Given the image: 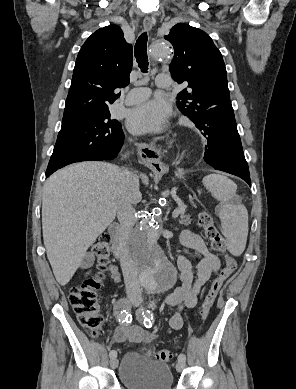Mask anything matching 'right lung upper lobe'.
<instances>
[{
	"mask_svg": "<svg viewBox=\"0 0 296 389\" xmlns=\"http://www.w3.org/2000/svg\"><path fill=\"white\" fill-rule=\"evenodd\" d=\"M132 46L119 26L109 25L93 33L81 47L67 96L64 117L108 109L129 84Z\"/></svg>",
	"mask_w": 296,
	"mask_h": 389,
	"instance_id": "cb5924a9",
	"label": "right lung upper lobe"
}]
</instances>
